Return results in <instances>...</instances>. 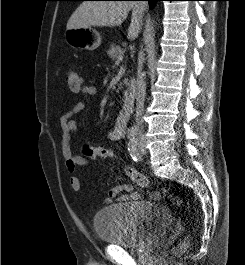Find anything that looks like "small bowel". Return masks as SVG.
I'll use <instances>...</instances> for the list:
<instances>
[{
  "instance_id": "1",
  "label": "small bowel",
  "mask_w": 245,
  "mask_h": 265,
  "mask_svg": "<svg viewBox=\"0 0 245 265\" xmlns=\"http://www.w3.org/2000/svg\"><path fill=\"white\" fill-rule=\"evenodd\" d=\"M81 94L87 96H96L98 94V89L94 85L82 84L80 92ZM85 108V102L79 101L77 102L73 108L66 112L60 118V126H61V138H62V155L65 162V167L68 172L74 173L77 168H85L88 167L90 162L83 156L76 154L73 151L71 141L72 136L77 131V124L72 119L75 114H78ZM124 136V125L118 123L114 125L108 131V138L113 141H117L122 139ZM69 185L71 189L75 192H79L82 189V184L80 179L71 175L69 177ZM150 197L154 200H158L160 198V193L158 191H154L150 194ZM140 198L139 192H137L132 185L130 184H120L108 191V196L104 199V203L110 204L114 200L120 202L126 201H137Z\"/></svg>"
}]
</instances>
